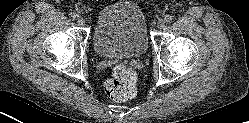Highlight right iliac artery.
Listing matches in <instances>:
<instances>
[{
    "label": "right iliac artery",
    "mask_w": 249,
    "mask_h": 123,
    "mask_svg": "<svg viewBox=\"0 0 249 123\" xmlns=\"http://www.w3.org/2000/svg\"><path fill=\"white\" fill-rule=\"evenodd\" d=\"M78 17H79V16H78V14H76V13H73V14H72V19H73V20L78 19Z\"/></svg>",
    "instance_id": "obj_1"
}]
</instances>
